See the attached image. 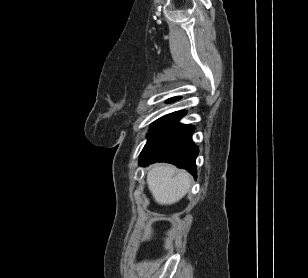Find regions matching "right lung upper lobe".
<instances>
[{
    "mask_svg": "<svg viewBox=\"0 0 308 278\" xmlns=\"http://www.w3.org/2000/svg\"><path fill=\"white\" fill-rule=\"evenodd\" d=\"M178 99H179L178 97L172 98V99H170V102L176 101V100H178ZM185 114H186V111H177V112L168 114V115H166V116H175V117H178V118H179V117L184 116Z\"/></svg>",
    "mask_w": 308,
    "mask_h": 278,
    "instance_id": "1",
    "label": "right lung upper lobe"
}]
</instances>
